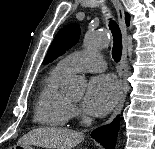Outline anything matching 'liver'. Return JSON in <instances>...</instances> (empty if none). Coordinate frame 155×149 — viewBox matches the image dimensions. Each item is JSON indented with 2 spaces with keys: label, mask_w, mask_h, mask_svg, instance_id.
<instances>
[{
  "label": "liver",
  "mask_w": 155,
  "mask_h": 149,
  "mask_svg": "<svg viewBox=\"0 0 155 149\" xmlns=\"http://www.w3.org/2000/svg\"><path fill=\"white\" fill-rule=\"evenodd\" d=\"M84 139L80 132L56 128L40 127L23 135L17 144H30L46 149H73Z\"/></svg>",
  "instance_id": "liver-1"
}]
</instances>
